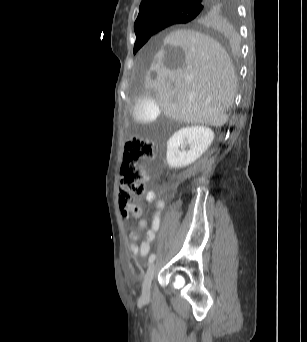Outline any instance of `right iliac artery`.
<instances>
[{
    "label": "right iliac artery",
    "instance_id": "1",
    "mask_svg": "<svg viewBox=\"0 0 307 342\" xmlns=\"http://www.w3.org/2000/svg\"><path fill=\"white\" fill-rule=\"evenodd\" d=\"M155 257H156L155 254H151L150 257H149L148 262L152 263L155 260Z\"/></svg>",
    "mask_w": 307,
    "mask_h": 342
}]
</instances>
